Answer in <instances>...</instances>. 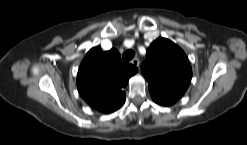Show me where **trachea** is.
Segmentation results:
<instances>
[{
  "label": "trachea",
  "mask_w": 247,
  "mask_h": 145,
  "mask_svg": "<svg viewBox=\"0 0 247 145\" xmlns=\"http://www.w3.org/2000/svg\"><path fill=\"white\" fill-rule=\"evenodd\" d=\"M135 55V52L133 50H127L124 54H123V60L125 62L130 61Z\"/></svg>",
  "instance_id": "trachea-1"
}]
</instances>
